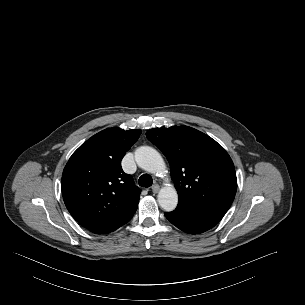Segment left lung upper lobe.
<instances>
[{"label": "left lung upper lobe", "instance_id": "left-lung-upper-lobe-1", "mask_svg": "<svg viewBox=\"0 0 305 305\" xmlns=\"http://www.w3.org/2000/svg\"><path fill=\"white\" fill-rule=\"evenodd\" d=\"M148 140L166 156L178 192L177 207L229 209L237 190L234 164L224 148L188 126L153 128Z\"/></svg>", "mask_w": 305, "mask_h": 305}]
</instances>
